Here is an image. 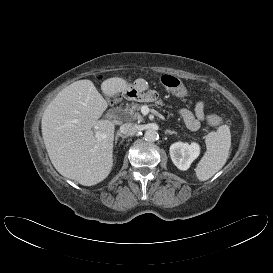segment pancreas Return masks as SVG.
Returning a JSON list of instances; mask_svg holds the SVG:
<instances>
[{
    "label": "pancreas",
    "mask_w": 273,
    "mask_h": 273,
    "mask_svg": "<svg viewBox=\"0 0 273 273\" xmlns=\"http://www.w3.org/2000/svg\"><path fill=\"white\" fill-rule=\"evenodd\" d=\"M155 105L156 106L157 105L164 106L165 104L162 101H156ZM141 107H142L141 104L131 103L126 106L124 113L128 118L133 119V120H137L140 122L143 120V117L139 113ZM170 115H172V114H170Z\"/></svg>",
    "instance_id": "1"
}]
</instances>
